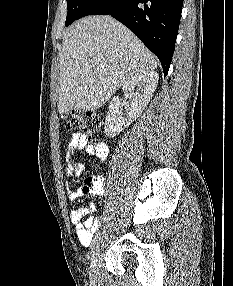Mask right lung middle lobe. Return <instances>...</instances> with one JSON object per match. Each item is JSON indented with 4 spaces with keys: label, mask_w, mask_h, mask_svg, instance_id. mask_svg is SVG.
Masks as SVG:
<instances>
[{
    "label": "right lung middle lobe",
    "mask_w": 233,
    "mask_h": 286,
    "mask_svg": "<svg viewBox=\"0 0 233 286\" xmlns=\"http://www.w3.org/2000/svg\"><path fill=\"white\" fill-rule=\"evenodd\" d=\"M94 1L95 0H67L68 12L65 25L69 26L71 23L79 19Z\"/></svg>",
    "instance_id": "1"
}]
</instances>
